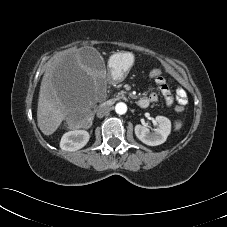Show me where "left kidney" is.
<instances>
[{"label": "left kidney", "instance_id": "1", "mask_svg": "<svg viewBox=\"0 0 227 227\" xmlns=\"http://www.w3.org/2000/svg\"><path fill=\"white\" fill-rule=\"evenodd\" d=\"M158 127L154 132H150L148 127L142 125L135 126V135L144 144L149 146H157L164 143L171 132V121L164 116L155 118Z\"/></svg>", "mask_w": 227, "mask_h": 227}]
</instances>
